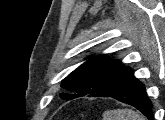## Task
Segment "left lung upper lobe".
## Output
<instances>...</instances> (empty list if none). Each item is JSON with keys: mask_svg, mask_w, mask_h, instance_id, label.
Segmentation results:
<instances>
[{"mask_svg": "<svg viewBox=\"0 0 165 120\" xmlns=\"http://www.w3.org/2000/svg\"><path fill=\"white\" fill-rule=\"evenodd\" d=\"M130 68L119 65L118 60H109L98 55L71 72L62 87L77 94L62 93L63 99L71 100L81 96L107 97L124 81Z\"/></svg>", "mask_w": 165, "mask_h": 120, "instance_id": "left-lung-upper-lobe-1", "label": "left lung upper lobe"}]
</instances>
